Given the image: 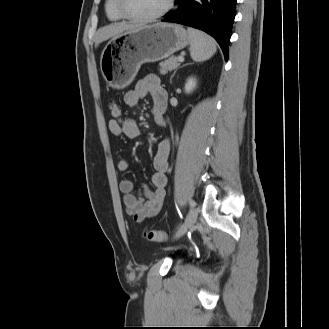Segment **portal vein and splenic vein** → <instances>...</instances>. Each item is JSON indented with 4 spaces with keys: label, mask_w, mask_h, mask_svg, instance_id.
Segmentation results:
<instances>
[{
    "label": "portal vein and splenic vein",
    "mask_w": 329,
    "mask_h": 329,
    "mask_svg": "<svg viewBox=\"0 0 329 329\" xmlns=\"http://www.w3.org/2000/svg\"><path fill=\"white\" fill-rule=\"evenodd\" d=\"M178 61L179 62H183L184 61V57L183 56H179Z\"/></svg>",
    "instance_id": "obj_1"
}]
</instances>
